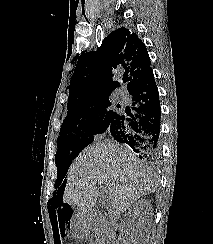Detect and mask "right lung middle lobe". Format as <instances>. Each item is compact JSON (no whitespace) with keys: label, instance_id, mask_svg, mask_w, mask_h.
Returning a JSON list of instances; mask_svg holds the SVG:
<instances>
[{"label":"right lung middle lobe","instance_id":"1","mask_svg":"<svg viewBox=\"0 0 213 244\" xmlns=\"http://www.w3.org/2000/svg\"><path fill=\"white\" fill-rule=\"evenodd\" d=\"M117 114L111 107L109 96L68 108L57 142L56 188L61 184L72 160L93 142L92 135L105 132Z\"/></svg>","mask_w":213,"mask_h":244}]
</instances>
